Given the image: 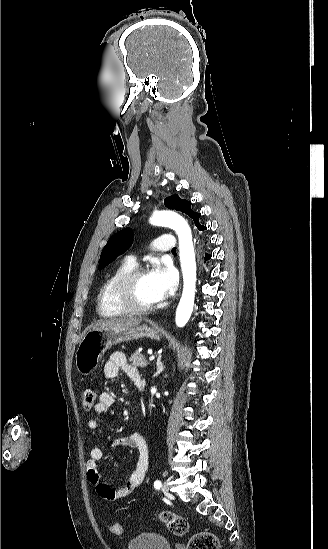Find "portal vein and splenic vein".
Returning <instances> with one entry per match:
<instances>
[{
    "label": "portal vein and splenic vein",
    "mask_w": 328,
    "mask_h": 549,
    "mask_svg": "<svg viewBox=\"0 0 328 549\" xmlns=\"http://www.w3.org/2000/svg\"><path fill=\"white\" fill-rule=\"evenodd\" d=\"M150 361H154V356H149Z\"/></svg>",
    "instance_id": "obj_1"
}]
</instances>
